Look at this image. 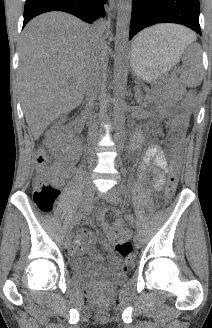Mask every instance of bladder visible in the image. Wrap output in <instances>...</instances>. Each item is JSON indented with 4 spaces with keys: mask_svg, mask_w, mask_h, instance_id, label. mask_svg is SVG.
Here are the masks:
<instances>
[{
    "mask_svg": "<svg viewBox=\"0 0 212 328\" xmlns=\"http://www.w3.org/2000/svg\"><path fill=\"white\" fill-rule=\"evenodd\" d=\"M73 279L82 286H116L127 279V274L113 272L106 275H96L88 270L86 260L82 257L74 259L71 264Z\"/></svg>",
    "mask_w": 212,
    "mask_h": 328,
    "instance_id": "bladder-1",
    "label": "bladder"
}]
</instances>
